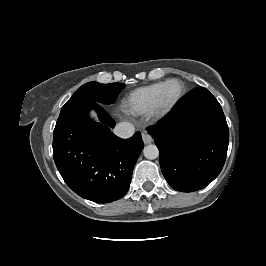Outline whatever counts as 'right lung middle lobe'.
<instances>
[{
    "label": "right lung middle lobe",
    "mask_w": 266,
    "mask_h": 266,
    "mask_svg": "<svg viewBox=\"0 0 266 266\" xmlns=\"http://www.w3.org/2000/svg\"><path fill=\"white\" fill-rule=\"evenodd\" d=\"M125 87L122 83L101 84L88 82L82 85L62 107L57 121L84 103L112 104L120 91Z\"/></svg>",
    "instance_id": "dd1d6c3e"
}]
</instances>
